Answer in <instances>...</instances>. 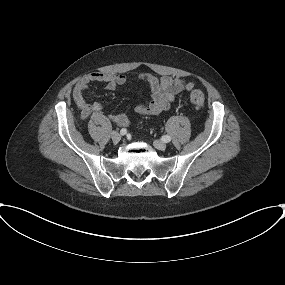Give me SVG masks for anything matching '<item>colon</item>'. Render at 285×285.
<instances>
[{"mask_svg": "<svg viewBox=\"0 0 285 285\" xmlns=\"http://www.w3.org/2000/svg\"><path fill=\"white\" fill-rule=\"evenodd\" d=\"M187 89L190 92V100L196 107V109H202L204 106V93L197 88H194L193 84H188Z\"/></svg>", "mask_w": 285, "mask_h": 285, "instance_id": "5ec220e1", "label": "colon"}]
</instances>
